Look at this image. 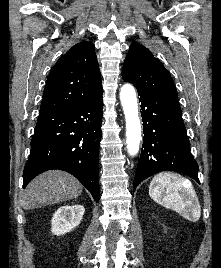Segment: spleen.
Listing matches in <instances>:
<instances>
[{
  "instance_id": "3e777b00",
  "label": "spleen",
  "mask_w": 221,
  "mask_h": 268,
  "mask_svg": "<svg viewBox=\"0 0 221 268\" xmlns=\"http://www.w3.org/2000/svg\"><path fill=\"white\" fill-rule=\"evenodd\" d=\"M150 197L167 209H172L189 221H198L201 207L192 183L176 173L160 172L151 180Z\"/></svg>"
}]
</instances>
